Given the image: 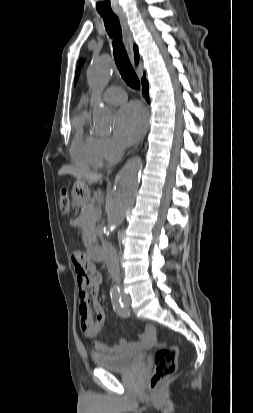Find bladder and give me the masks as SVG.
Masks as SVG:
<instances>
[{
    "instance_id": "bladder-1",
    "label": "bladder",
    "mask_w": 253,
    "mask_h": 413,
    "mask_svg": "<svg viewBox=\"0 0 253 413\" xmlns=\"http://www.w3.org/2000/svg\"><path fill=\"white\" fill-rule=\"evenodd\" d=\"M145 361V354L142 351L125 352L115 355H95L93 362L101 368L126 372L141 366Z\"/></svg>"
}]
</instances>
